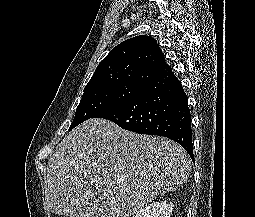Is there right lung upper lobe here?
<instances>
[{"label": "right lung upper lobe", "mask_w": 255, "mask_h": 217, "mask_svg": "<svg viewBox=\"0 0 255 217\" xmlns=\"http://www.w3.org/2000/svg\"><path fill=\"white\" fill-rule=\"evenodd\" d=\"M151 36L139 35L117 45L97 66L84 91L115 84L147 86L171 73Z\"/></svg>", "instance_id": "cb5924a9"}]
</instances>
